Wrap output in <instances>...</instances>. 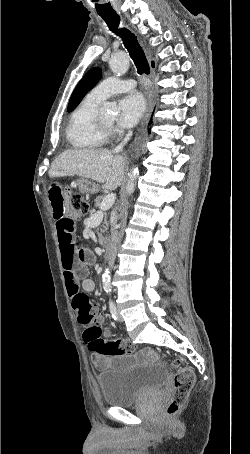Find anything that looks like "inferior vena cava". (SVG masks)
Listing matches in <instances>:
<instances>
[{
	"label": "inferior vena cava",
	"mask_w": 250,
	"mask_h": 454,
	"mask_svg": "<svg viewBox=\"0 0 250 454\" xmlns=\"http://www.w3.org/2000/svg\"><path fill=\"white\" fill-rule=\"evenodd\" d=\"M131 135H132V131H129L126 134L124 140L114 149L115 153H119L120 151H122L124 145L130 139ZM118 242H119V232L117 230L116 221H114L111 225V243L107 249L108 262H109V266L111 268L113 267L115 259H116Z\"/></svg>",
	"instance_id": "obj_1"
}]
</instances>
